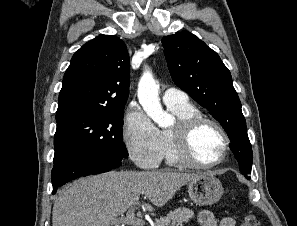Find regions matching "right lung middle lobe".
<instances>
[{"label":"right lung middle lobe","mask_w":297,"mask_h":226,"mask_svg":"<svg viewBox=\"0 0 297 226\" xmlns=\"http://www.w3.org/2000/svg\"><path fill=\"white\" fill-rule=\"evenodd\" d=\"M57 121L55 152L94 149L127 157L122 139L123 111L111 113H78Z\"/></svg>","instance_id":"right-lung-middle-lobe-1"}]
</instances>
